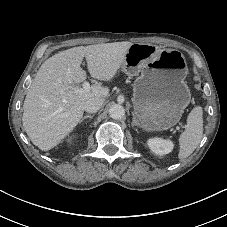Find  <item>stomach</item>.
<instances>
[{
	"label": "stomach",
	"mask_w": 227,
	"mask_h": 227,
	"mask_svg": "<svg viewBox=\"0 0 227 227\" xmlns=\"http://www.w3.org/2000/svg\"><path fill=\"white\" fill-rule=\"evenodd\" d=\"M121 71L128 76L140 74L133 84V105L145 131L167 130L180 121L191 93L185 83L187 63L179 51L134 43Z\"/></svg>",
	"instance_id": "1"
}]
</instances>
